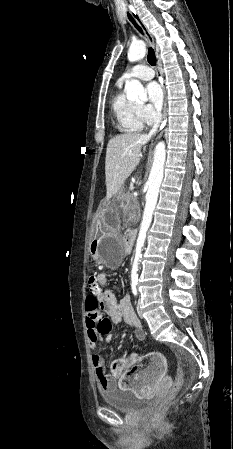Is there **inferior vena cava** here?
Here are the masks:
<instances>
[{"instance_id":"inferior-vena-cava-1","label":"inferior vena cava","mask_w":233,"mask_h":449,"mask_svg":"<svg viewBox=\"0 0 233 449\" xmlns=\"http://www.w3.org/2000/svg\"><path fill=\"white\" fill-rule=\"evenodd\" d=\"M161 120H162L161 111H156L154 113V124H153V127L150 130L148 136H152L153 134H155L157 132V130H158L159 126H160Z\"/></svg>"}]
</instances>
